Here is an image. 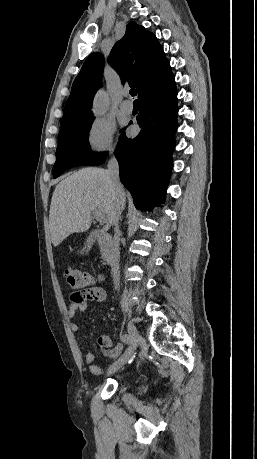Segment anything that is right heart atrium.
I'll list each match as a JSON object with an SVG mask.
<instances>
[{"mask_svg":"<svg viewBox=\"0 0 257 459\" xmlns=\"http://www.w3.org/2000/svg\"><path fill=\"white\" fill-rule=\"evenodd\" d=\"M115 126L106 119L93 120L85 134L88 150L94 156H102L114 151Z\"/></svg>","mask_w":257,"mask_h":459,"instance_id":"d8ad5b80","label":"right heart atrium"}]
</instances>
